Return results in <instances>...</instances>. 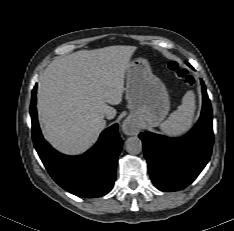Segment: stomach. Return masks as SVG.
<instances>
[{
	"label": "stomach",
	"instance_id": "stomach-1",
	"mask_svg": "<svg viewBox=\"0 0 234 231\" xmlns=\"http://www.w3.org/2000/svg\"><path fill=\"white\" fill-rule=\"evenodd\" d=\"M125 93L130 117L141 124L157 126L170 110L166 87L152 73L146 59L137 58L129 62Z\"/></svg>",
	"mask_w": 234,
	"mask_h": 231
}]
</instances>
